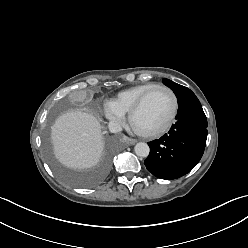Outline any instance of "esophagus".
Segmentation results:
<instances>
[{
  "instance_id": "1",
  "label": "esophagus",
  "mask_w": 248,
  "mask_h": 248,
  "mask_svg": "<svg viewBox=\"0 0 248 248\" xmlns=\"http://www.w3.org/2000/svg\"><path fill=\"white\" fill-rule=\"evenodd\" d=\"M124 141L128 145H134L137 141L135 139L129 138L127 136H124Z\"/></svg>"
}]
</instances>
